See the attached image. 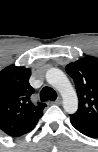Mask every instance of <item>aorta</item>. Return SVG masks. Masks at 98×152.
Here are the masks:
<instances>
[{"label": "aorta", "instance_id": "aorta-1", "mask_svg": "<svg viewBox=\"0 0 98 152\" xmlns=\"http://www.w3.org/2000/svg\"><path fill=\"white\" fill-rule=\"evenodd\" d=\"M46 81L61 94L64 110L69 114L75 113L78 109L77 94L64 72L51 68L46 73Z\"/></svg>", "mask_w": 98, "mask_h": 152}]
</instances>
